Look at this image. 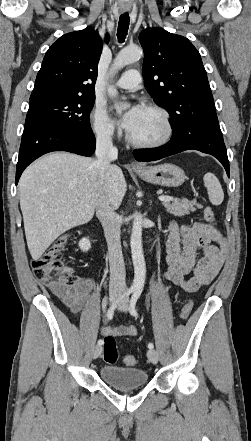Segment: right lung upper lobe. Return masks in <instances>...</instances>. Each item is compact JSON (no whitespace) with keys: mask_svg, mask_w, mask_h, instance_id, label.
Returning a JSON list of instances; mask_svg holds the SVG:
<instances>
[{"mask_svg":"<svg viewBox=\"0 0 251 441\" xmlns=\"http://www.w3.org/2000/svg\"><path fill=\"white\" fill-rule=\"evenodd\" d=\"M106 42L109 35L105 37ZM102 40L92 27L61 36L45 54L30 101L55 96H95Z\"/></svg>","mask_w":251,"mask_h":441,"instance_id":"cb5924a9","label":"right lung upper lobe"}]
</instances>
